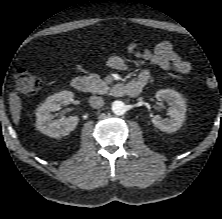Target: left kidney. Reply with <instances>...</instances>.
I'll use <instances>...</instances> for the list:
<instances>
[{
    "mask_svg": "<svg viewBox=\"0 0 222 219\" xmlns=\"http://www.w3.org/2000/svg\"><path fill=\"white\" fill-rule=\"evenodd\" d=\"M156 98L159 101L165 100L168 103L170 118L162 119L159 115H155L151 118L152 123L161 131L175 132L182 126L185 120V100L180 93L171 89L157 91Z\"/></svg>",
    "mask_w": 222,
    "mask_h": 219,
    "instance_id": "5707ae66",
    "label": "left kidney"
}]
</instances>
